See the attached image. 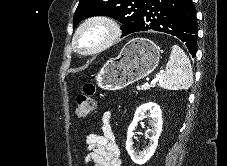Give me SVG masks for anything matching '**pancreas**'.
Returning <instances> with one entry per match:
<instances>
[{
	"mask_svg": "<svg viewBox=\"0 0 227 166\" xmlns=\"http://www.w3.org/2000/svg\"><path fill=\"white\" fill-rule=\"evenodd\" d=\"M151 87H154V86H137V90H148V89H150Z\"/></svg>",
	"mask_w": 227,
	"mask_h": 166,
	"instance_id": "cf45deb5",
	"label": "pancreas"
}]
</instances>
